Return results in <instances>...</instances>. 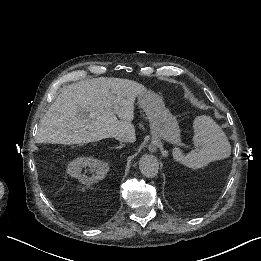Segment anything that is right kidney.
I'll list each match as a JSON object with an SVG mask.
<instances>
[{"mask_svg":"<svg viewBox=\"0 0 261 261\" xmlns=\"http://www.w3.org/2000/svg\"><path fill=\"white\" fill-rule=\"evenodd\" d=\"M88 168L92 173L88 176L87 173H82V169ZM109 171V165L105 162L92 158H77L68 166L67 172L73 178L78 179L83 184H93L102 180Z\"/></svg>","mask_w":261,"mask_h":261,"instance_id":"1","label":"right kidney"}]
</instances>
